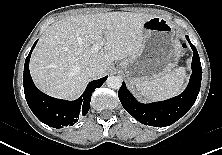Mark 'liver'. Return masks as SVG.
<instances>
[{"label":"liver","mask_w":222,"mask_h":155,"mask_svg":"<svg viewBox=\"0 0 222 155\" xmlns=\"http://www.w3.org/2000/svg\"><path fill=\"white\" fill-rule=\"evenodd\" d=\"M153 15L107 12L68 16L53 23L41 36L31 56L35 84L57 98H73L89 81L86 67L97 64L106 74L115 60L144 47L143 24ZM103 42L95 52L93 45Z\"/></svg>","instance_id":"liver-1"}]
</instances>
